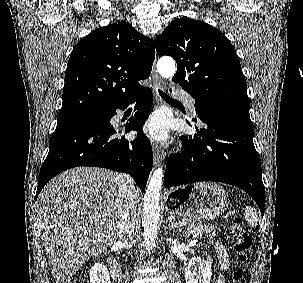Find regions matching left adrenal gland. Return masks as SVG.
Wrapping results in <instances>:
<instances>
[{
    "instance_id": "obj_1",
    "label": "left adrenal gland",
    "mask_w": 303,
    "mask_h": 283,
    "mask_svg": "<svg viewBox=\"0 0 303 283\" xmlns=\"http://www.w3.org/2000/svg\"><path fill=\"white\" fill-rule=\"evenodd\" d=\"M168 228L171 229H177V230H181L180 227H178V225L176 223H174L173 221H169V225Z\"/></svg>"
}]
</instances>
